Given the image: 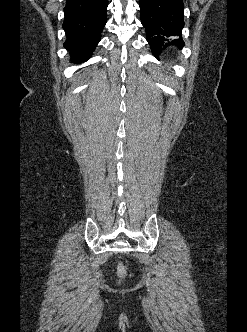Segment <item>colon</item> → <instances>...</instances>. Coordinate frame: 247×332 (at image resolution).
I'll list each match as a JSON object with an SVG mask.
<instances>
[{
    "instance_id": "colon-1",
    "label": "colon",
    "mask_w": 247,
    "mask_h": 332,
    "mask_svg": "<svg viewBox=\"0 0 247 332\" xmlns=\"http://www.w3.org/2000/svg\"><path fill=\"white\" fill-rule=\"evenodd\" d=\"M117 271H118V275H119L120 278H124L125 277V275H126V269H125V266L123 264H119L118 265Z\"/></svg>"
}]
</instances>
